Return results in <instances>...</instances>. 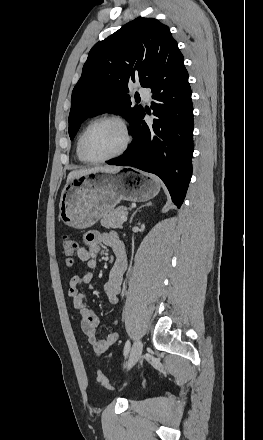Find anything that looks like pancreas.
Wrapping results in <instances>:
<instances>
[{"mask_svg": "<svg viewBox=\"0 0 263 440\" xmlns=\"http://www.w3.org/2000/svg\"><path fill=\"white\" fill-rule=\"evenodd\" d=\"M128 209L127 207H117L111 212L107 213L103 216L101 220V225L106 228H119L123 227V221L121 220V216L127 215Z\"/></svg>", "mask_w": 263, "mask_h": 440, "instance_id": "obj_1", "label": "pancreas"}]
</instances>
